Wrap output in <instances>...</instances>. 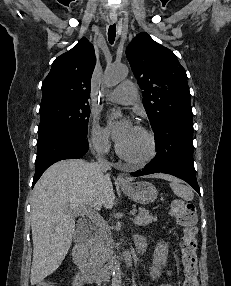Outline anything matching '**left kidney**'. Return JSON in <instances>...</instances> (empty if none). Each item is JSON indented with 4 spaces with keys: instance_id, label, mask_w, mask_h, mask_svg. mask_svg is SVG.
Wrapping results in <instances>:
<instances>
[{
    "instance_id": "obj_1",
    "label": "left kidney",
    "mask_w": 231,
    "mask_h": 286,
    "mask_svg": "<svg viewBox=\"0 0 231 286\" xmlns=\"http://www.w3.org/2000/svg\"><path fill=\"white\" fill-rule=\"evenodd\" d=\"M160 242L157 244L154 255H153V265L150 268V275L153 279L159 278L161 275V266H166L167 255H168V246Z\"/></svg>"
}]
</instances>
